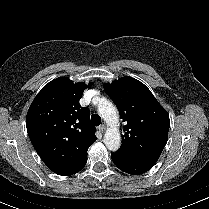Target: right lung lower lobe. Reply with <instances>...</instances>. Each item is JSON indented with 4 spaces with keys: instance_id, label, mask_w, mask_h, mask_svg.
I'll list each match as a JSON object with an SVG mask.
<instances>
[{
    "instance_id": "1",
    "label": "right lung lower lobe",
    "mask_w": 209,
    "mask_h": 209,
    "mask_svg": "<svg viewBox=\"0 0 209 209\" xmlns=\"http://www.w3.org/2000/svg\"><path fill=\"white\" fill-rule=\"evenodd\" d=\"M86 162H87V159L77 169H75L71 174L79 172L85 166Z\"/></svg>"
}]
</instances>
